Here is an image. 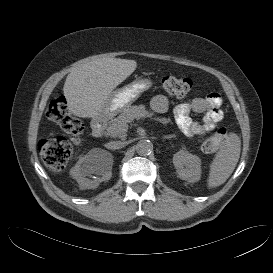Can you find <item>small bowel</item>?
<instances>
[{"instance_id": "c3829d8e", "label": "small bowel", "mask_w": 273, "mask_h": 273, "mask_svg": "<svg viewBox=\"0 0 273 273\" xmlns=\"http://www.w3.org/2000/svg\"><path fill=\"white\" fill-rule=\"evenodd\" d=\"M151 108L158 113L165 112L169 107L168 99L156 95L151 100ZM222 98L217 92H211L204 97H198L188 103L181 104L175 111V119L182 131L191 137L203 136L211 132L223 119L221 110ZM204 113L200 121L190 118V113Z\"/></svg>"}]
</instances>
